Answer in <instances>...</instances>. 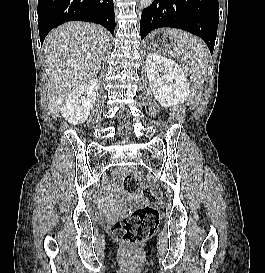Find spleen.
<instances>
[{
	"label": "spleen",
	"instance_id": "spleen-1",
	"mask_svg": "<svg viewBox=\"0 0 265 273\" xmlns=\"http://www.w3.org/2000/svg\"><path fill=\"white\" fill-rule=\"evenodd\" d=\"M165 35L174 40V50L180 54L183 53L184 58L189 59V67L186 66L185 70L191 74L192 82L204 83L208 66V52L204 42L178 29H167Z\"/></svg>",
	"mask_w": 265,
	"mask_h": 273
}]
</instances>
